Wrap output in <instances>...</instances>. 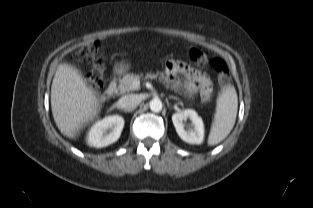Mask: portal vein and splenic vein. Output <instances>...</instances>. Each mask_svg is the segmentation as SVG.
Here are the masks:
<instances>
[{"label": "portal vein and splenic vein", "mask_w": 313, "mask_h": 208, "mask_svg": "<svg viewBox=\"0 0 313 208\" xmlns=\"http://www.w3.org/2000/svg\"><path fill=\"white\" fill-rule=\"evenodd\" d=\"M134 85H135V86H138V85H139V81H135V82H134Z\"/></svg>", "instance_id": "18ae733b"}]
</instances>
